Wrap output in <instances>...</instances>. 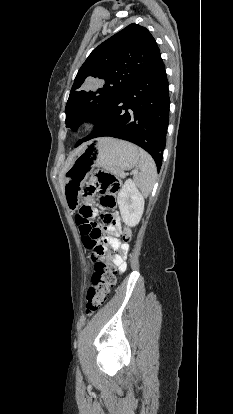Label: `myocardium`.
<instances>
[{
  "instance_id": "obj_1",
  "label": "myocardium",
  "mask_w": 233,
  "mask_h": 414,
  "mask_svg": "<svg viewBox=\"0 0 233 414\" xmlns=\"http://www.w3.org/2000/svg\"><path fill=\"white\" fill-rule=\"evenodd\" d=\"M97 124L98 122L95 118L93 117L85 118L79 123L77 127V133L82 136L86 135L89 132L93 131L97 127Z\"/></svg>"
}]
</instances>
